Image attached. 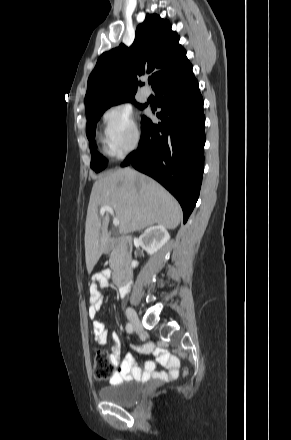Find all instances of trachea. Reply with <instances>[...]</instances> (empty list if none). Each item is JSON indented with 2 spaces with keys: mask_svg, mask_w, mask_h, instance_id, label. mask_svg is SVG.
Instances as JSON below:
<instances>
[{
  "mask_svg": "<svg viewBox=\"0 0 291 440\" xmlns=\"http://www.w3.org/2000/svg\"><path fill=\"white\" fill-rule=\"evenodd\" d=\"M152 80H148V83L151 84Z\"/></svg>",
  "mask_w": 291,
  "mask_h": 440,
  "instance_id": "obj_1",
  "label": "trachea"
}]
</instances>
